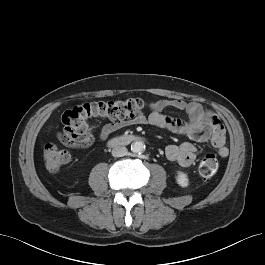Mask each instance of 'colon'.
I'll return each mask as SVG.
<instances>
[{"mask_svg": "<svg viewBox=\"0 0 265 265\" xmlns=\"http://www.w3.org/2000/svg\"><path fill=\"white\" fill-rule=\"evenodd\" d=\"M147 103L140 98H130L126 100L92 102L74 106L62 115V129L58 133V138L64 144L84 145L92 138L91 120L96 117L108 119L110 121H122L128 118H136L143 115ZM218 124V121H214ZM70 160V153L53 144H48L44 148V161L48 171L55 172L67 164ZM219 168L216 155L209 153L204 155L199 163L201 175L209 177L214 175Z\"/></svg>", "mask_w": 265, "mask_h": 265, "instance_id": "5ec220e1", "label": "colon"}]
</instances>
